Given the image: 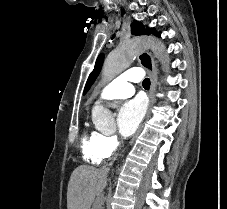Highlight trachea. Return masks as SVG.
Segmentation results:
<instances>
[{
	"label": "trachea",
	"mask_w": 227,
	"mask_h": 209,
	"mask_svg": "<svg viewBox=\"0 0 227 209\" xmlns=\"http://www.w3.org/2000/svg\"><path fill=\"white\" fill-rule=\"evenodd\" d=\"M142 85H143L144 89H149L150 79H144L143 82H142Z\"/></svg>",
	"instance_id": "1"
}]
</instances>
